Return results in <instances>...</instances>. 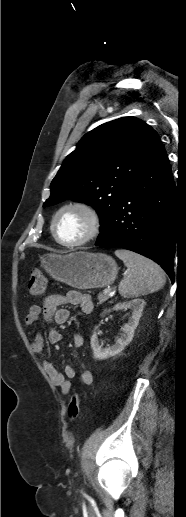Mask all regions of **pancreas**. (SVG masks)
<instances>
[{"label":"pancreas","instance_id":"pancreas-1","mask_svg":"<svg viewBox=\"0 0 186 517\" xmlns=\"http://www.w3.org/2000/svg\"><path fill=\"white\" fill-rule=\"evenodd\" d=\"M108 299H109V295L107 293H104V292L103 293H99V295H98L99 304L104 303Z\"/></svg>","mask_w":186,"mask_h":517}]
</instances>
